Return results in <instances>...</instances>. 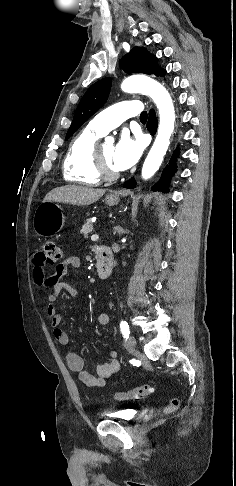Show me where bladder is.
I'll use <instances>...</instances> for the list:
<instances>
[{
    "label": "bladder",
    "instance_id": "bladder-1",
    "mask_svg": "<svg viewBox=\"0 0 236 486\" xmlns=\"http://www.w3.org/2000/svg\"><path fill=\"white\" fill-rule=\"evenodd\" d=\"M105 416L112 420H118L121 422H129L135 418V413L132 410L125 409L112 413H107Z\"/></svg>",
    "mask_w": 236,
    "mask_h": 486
}]
</instances>
